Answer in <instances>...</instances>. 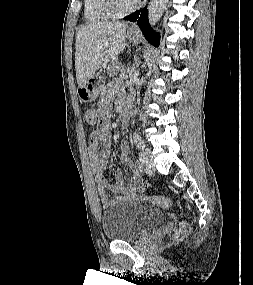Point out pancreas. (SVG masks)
I'll return each mask as SVG.
<instances>
[{
	"mask_svg": "<svg viewBox=\"0 0 253 285\" xmlns=\"http://www.w3.org/2000/svg\"><path fill=\"white\" fill-rule=\"evenodd\" d=\"M125 71V67L117 61H112L107 67V74L112 77L120 75V73Z\"/></svg>",
	"mask_w": 253,
	"mask_h": 285,
	"instance_id": "pancreas-1",
	"label": "pancreas"
}]
</instances>
